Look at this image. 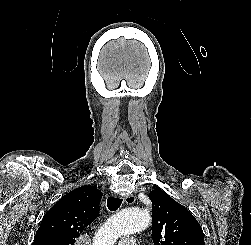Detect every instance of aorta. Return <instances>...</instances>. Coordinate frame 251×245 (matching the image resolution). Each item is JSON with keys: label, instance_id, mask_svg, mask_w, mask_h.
I'll return each mask as SVG.
<instances>
[{"label": "aorta", "instance_id": "1", "mask_svg": "<svg viewBox=\"0 0 251 245\" xmlns=\"http://www.w3.org/2000/svg\"><path fill=\"white\" fill-rule=\"evenodd\" d=\"M150 214L139 208H127L111 216L99 229L93 245H114L121 236L137 233L150 224Z\"/></svg>", "mask_w": 251, "mask_h": 245}]
</instances>
